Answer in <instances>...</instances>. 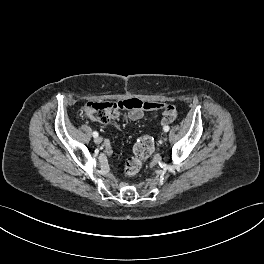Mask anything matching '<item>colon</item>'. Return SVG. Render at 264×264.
<instances>
[{
	"instance_id": "1",
	"label": "colon",
	"mask_w": 264,
	"mask_h": 264,
	"mask_svg": "<svg viewBox=\"0 0 264 264\" xmlns=\"http://www.w3.org/2000/svg\"><path fill=\"white\" fill-rule=\"evenodd\" d=\"M127 105L124 102H89L82 109V115L101 123L112 122L118 117L119 109ZM154 150V142L151 136L140 137L134 145L133 156L125 165L126 175L136 176L143 163L150 157Z\"/></svg>"
}]
</instances>
